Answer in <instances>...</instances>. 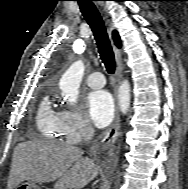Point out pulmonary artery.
I'll use <instances>...</instances> for the list:
<instances>
[{
  "mask_svg": "<svg viewBox=\"0 0 188 189\" xmlns=\"http://www.w3.org/2000/svg\"><path fill=\"white\" fill-rule=\"evenodd\" d=\"M86 83L89 87L98 89L105 85L104 75L100 72H94L87 76Z\"/></svg>",
  "mask_w": 188,
  "mask_h": 189,
  "instance_id": "obj_1",
  "label": "pulmonary artery"
}]
</instances>
